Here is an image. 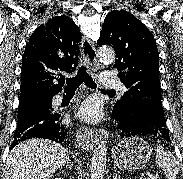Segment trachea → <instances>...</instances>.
Instances as JSON below:
<instances>
[{"label": "trachea", "mask_w": 183, "mask_h": 179, "mask_svg": "<svg viewBox=\"0 0 183 179\" xmlns=\"http://www.w3.org/2000/svg\"><path fill=\"white\" fill-rule=\"evenodd\" d=\"M82 83H85L89 88H96L97 85L93 81L91 75L87 73V68L83 65L78 70L75 77L68 78L66 81V91H75ZM114 92L115 90H108Z\"/></svg>", "instance_id": "1"}]
</instances>
